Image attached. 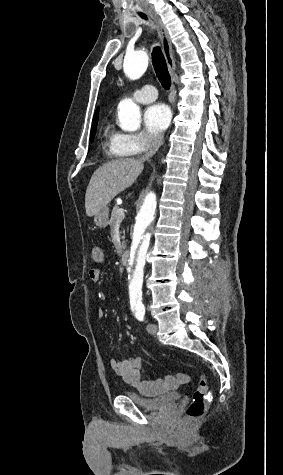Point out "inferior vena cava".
<instances>
[{
	"label": "inferior vena cava",
	"instance_id": "obj_1",
	"mask_svg": "<svg viewBox=\"0 0 283 475\" xmlns=\"http://www.w3.org/2000/svg\"><path fill=\"white\" fill-rule=\"evenodd\" d=\"M147 140V150L144 152V156H142L141 160H149V158H152V156L158 152L164 142V136L161 132H149Z\"/></svg>",
	"mask_w": 283,
	"mask_h": 475
}]
</instances>
